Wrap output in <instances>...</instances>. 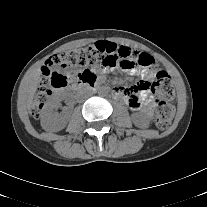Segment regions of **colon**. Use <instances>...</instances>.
I'll list each match as a JSON object with an SVG mask.
<instances>
[{"instance_id": "5ec220e1", "label": "colon", "mask_w": 207, "mask_h": 207, "mask_svg": "<svg viewBox=\"0 0 207 207\" xmlns=\"http://www.w3.org/2000/svg\"><path fill=\"white\" fill-rule=\"evenodd\" d=\"M157 59L153 55L140 54L135 49L118 46L108 41H98L81 48L61 51L52 55L42 68L41 79L35 94L32 114L37 117L44 102L51 94L52 87H65L68 84L63 70L71 67H96L101 69L136 68L139 70H153L157 66ZM95 78L91 72H84L79 79ZM149 88L156 95L155 123L158 128L166 129L173 118L174 107L171 104L175 96V89L170 75L164 70H158L155 78L149 83Z\"/></svg>"}]
</instances>
